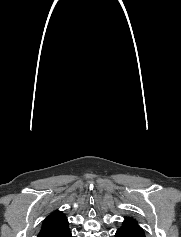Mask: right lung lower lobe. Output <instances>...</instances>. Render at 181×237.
I'll use <instances>...</instances> for the list:
<instances>
[{"label":"right lung lower lobe","instance_id":"obj_1","mask_svg":"<svg viewBox=\"0 0 181 237\" xmlns=\"http://www.w3.org/2000/svg\"><path fill=\"white\" fill-rule=\"evenodd\" d=\"M65 237H72L71 232H69Z\"/></svg>","mask_w":181,"mask_h":237}]
</instances>
